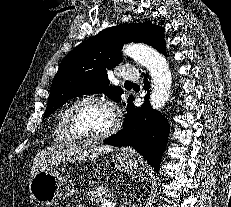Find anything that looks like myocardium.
<instances>
[{
    "label": "myocardium",
    "mask_w": 231,
    "mask_h": 207,
    "mask_svg": "<svg viewBox=\"0 0 231 207\" xmlns=\"http://www.w3.org/2000/svg\"><path fill=\"white\" fill-rule=\"evenodd\" d=\"M87 102H95L104 105L107 107L113 114V122L111 126L104 132L96 135H88L85 133H82L76 126L74 122V112L77 109L78 106H80L83 103ZM65 122H66V127L68 132L76 139L79 141L83 142H98L105 140L112 135H114L119 129L121 125L120 121V116L115 108V106L112 104V102L107 99L104 96L101 95H96V94H91V95H86L83 97L78 98L75 100L68 108L65 113Z\"/></svg>",
    "instance_id": "f54148a6"
}]
</instances>
